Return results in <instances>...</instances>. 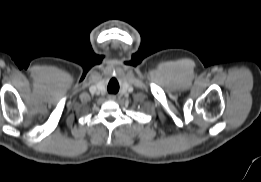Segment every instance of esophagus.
Returning <instances> with one entry per match:
<instances>
[{"label":"esophagus","instance_id":"34e87169","mask_svg":"<svg viewBox=\"0 0 261 182\" xmlns=\"http://www.w3.org/2000/svg\"><path fill=\"white\" fill-rule=\"evenodd\" d=\"M108 98H109L110 100H114V99H115V96L110 95Z\"/></svg>","mask_w":261,"mask_h":182}]
</instances>
